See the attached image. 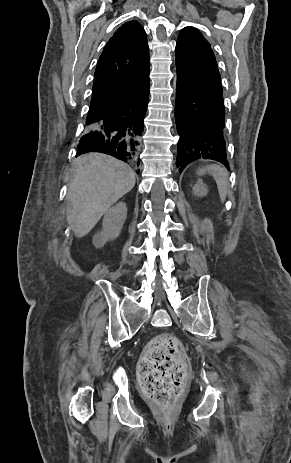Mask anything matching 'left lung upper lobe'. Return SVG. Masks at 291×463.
<instances>
[{
    "label": "left lung upper lobe",
    "instance_id": "left-lung-upper-lobe-1",
    "mask_svg": "<svg viewBox=\"0 0 291 463\" xmlns=\"http://www.w3.org/2000/svg\"><path fill=\"white\" fill-rule=\"evenodd\" d=\"M175 51L177 75L222 93L216 58L200 31L190 26L183 28Z\"/></svg>",
    "mask_w": 291,
    "mask_h": 463
}]
</instances>
